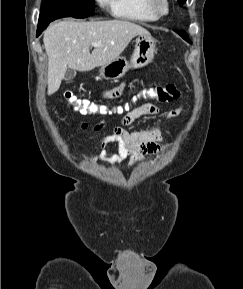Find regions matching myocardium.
I'll list each match as a JSON object with an SVG mask.
<instances>
[{
  "mask_svg": "<svg viewBox=\"0 0 243 289\" xmlns=\"http://www.w3.org/2000/svg\"><path fill=\"white\" fill-rule=\"evenodd\" d=\"M145 2L149 12L157 18L167 15L170 11L169 0H145Z\"/></svg>",
  "mask_w": 243,
  "mask_h": 289,
  "instance_id": "obj_1",
  "label": "myocardium"
}]
</instances>
